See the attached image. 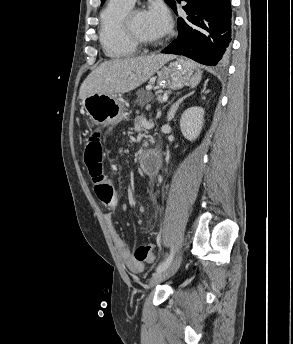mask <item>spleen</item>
Returning a JSON list of instances; mask_svg holds the SVG:
<instances>
[{"mask_svg":"<svg viewBox=\"0 0 293 344\" xmlns=\"http://www.w3.org/2000/svg\"><path fill=\"white\" fill-rule=\"evenodd\" d=\"M187 63L190 64L191 67L194 68V66H193V64H192L191 62L187 61ZM201 77H202V74H201V72L198 70V71L195 73V75H194V76L191 78V80H190V85H191V87H196V86L198 85V83L200 82Z\"/></svg>","mask_w":293,"mask_h":344,"instance_id":"3e777b00","label":"spleen"}]
</instances>
